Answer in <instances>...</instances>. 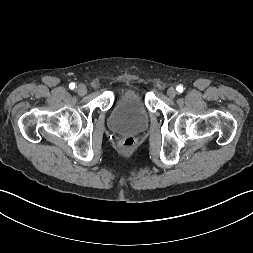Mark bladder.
I'll list each match as a JSON object with an SVG mask.
<instances>
[{
	"label": "bladder",
	"instance_id": "obj_1",
	"mask_svg": "<svg viewBox=\"0 0 253 253\" xmlns=\"http://www.w3.org/2000/svg\"><path fill=\"white\" fill-rule=\"evenodd\" d=\"M148 122L149 114L144 99L135 91L119 95L108 118L109 128L117 133H140L147 128Z\"/></svg>",
	"mask_w": 253,
	"mask_h": 253
}]
</instances>
